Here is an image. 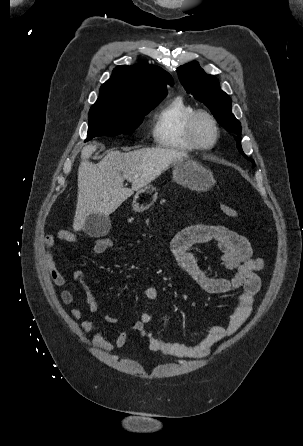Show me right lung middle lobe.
Masks as SVG:
<instances>
[{
    "mask_svg": "<svg viewBox=\"0 0 303 446\" xmlns=\"http://www.w3.org/2000/svg\"><path fill=\"white\" fill-rule=\"evenodd\" d=\"M157 105L143 109L91 108L86 141L96 136L131 134Z\"/></svg>",
    "mask_w": 303,
    "mask_h": 446,
    "instance_id": "obj_1",
    "label": "right lung middle lobe"
}]
</instances>
